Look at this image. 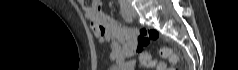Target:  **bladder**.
I'll use <instances>...</instances> for the list:
<instances>
[{
    "instance_id": "obj_1",
    "label": "bladder",
    "mask_w": 238,
    "mask_h": 70,
    "mask_svg": "<svg viewBox=\"0 0 238 70\" xmlns=\"http://www.w3.org/2000/svg\"><path fill=\"white\" fill-rule=\"evenodd\" d=\"M109 70H120V69H118L116 67H111Z\"/></svg>"
}]
</instances>
